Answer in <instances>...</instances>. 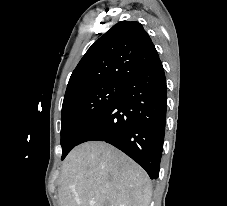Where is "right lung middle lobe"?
Returning a JSON list of instances; mask_svg holds the SVG:
<instances>
[{"mask_svg":"<svg viewBox=\"0 0 227 206\" xmlns=\"http://www.w3.org/2000/svg\"><path fill=\"white\" fill-rule=\"evenodd\" d=\"M124 83L108 81L64 98L61 115L62 160L105 110L121 95Z\"/></svg>","mask_w":227,"mask_h":206,"instance_id":"dd1d6c3e","label":"right lung middle lobe"}]
</instances>
